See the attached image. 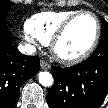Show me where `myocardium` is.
<instances>
[{"label": "myocardium", "mask_w": 108, "mask_h": 108, "mask_svg": "<svg viewBox=\"0 0 108 108\" xmlns=\"http://www.w3.org/2000/svg\"><path fill=\"white\" fill-rule=\"evenodd\" d=\"M91 16L96 24V33L94 36V39L92 41V43L90 44V46L81 54L76 55V56H64L62 55L59 51H58V45L60 43V41L62 40V38L64 37V35L66 34L67 30L69 29V27L81 16ZM100 36H101V24L100 21L98 19V17L90 11H78L77 13L73 14L72 16H70L68 19H66L62 25L58 28V30L55 32V34L53 35L51 41H50V50L52 55L54 56V58L65 64V65H74L77 63H80L84 60H86L96 49L99 40H100Z\"/></svg>", "instance_id": "1"}]
</instances>
